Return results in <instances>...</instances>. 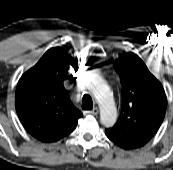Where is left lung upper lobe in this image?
I'll list each match as a JSON object with an SVG mask.
<instances>
[{"instance_id": "obj_1", "label": "left lung upper lobe", "mask_w": 173, "mask_h": 170, "mask_svg": "<svg viewBox=\"0 0 173 170\" xmlns=\"http://www.w3.org/2000/svg\"><path fill=\"white\" fill-rule=\"evenodd\" d=\"M114 68L122 84V109L117 123L105 133L117 146L136 149L158 131L166 113V94L136 54L121 56Z\"/></svg>"}]
</instances>
